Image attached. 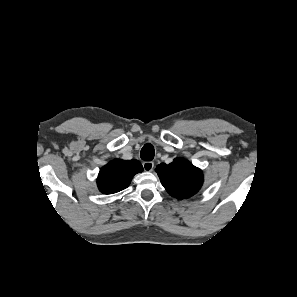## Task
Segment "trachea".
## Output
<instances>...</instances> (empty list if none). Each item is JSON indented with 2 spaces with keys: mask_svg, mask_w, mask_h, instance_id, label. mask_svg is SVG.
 Wrapping results in <instances>:
<instances>
[{
  "mask_svg": "<svg viewBox=\"0 0 297 297\" xmlns=\"http://www.w3.org/2000/svg\"><path fill=\"white\" fill-rule=\"evenodd\" d=\"M155 155V150L153 145L147 143L143 146V148L141 149V153L140 156L143 160L145 161H151L153 160Z\"/></svg>",
  "mask_w": 297,
  "mask_h": 297,
  "instance_id": "1",
  "label": "trachea"
}]
</instances>
